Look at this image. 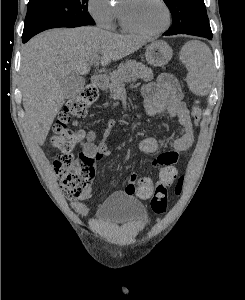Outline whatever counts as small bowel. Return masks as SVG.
I'll use <instances>...</instances> for the list:
<instances>
[{"instance_id":"obj_1","label":"small bowel","mask_w":245,"mask_h":300,"mask_svg":"<svg viewBox=\"0 0 245 300\" xmlns=\"http://www.w3.org/2000/svg\"><path fill=\"white\" fill-rule=\"evenodd\" d=\"M142 96L144 109L147 115L154 117L167 110L171 117L175 118L179 125L180 131L177 138L172 143V150L160 154L153 162L152 166L160 169L158 181L155 183V190H166L171 188L177 179L175 164L178 162L180 152L187 151L194 142L193 124L182 89L177 79L167 73H162L156 82L146 83L142 87ZM114 127V120L106 122L104 131V140L96 143L97 134L95 131H88L84 136V144L82 146L81 155L93 159L95 162L103 157L112 155L108 149L105 139L111 133ZM160 142L155 137H146L139 142L138 149L144 154L156 153L159 149ZM138 176L132 173L127 181L125 193L134 195ZM91 197V193L87 192L81 199L71 202L72 208L79 214L88 211L85 200Z\"/></svg>"}]
</instances>
